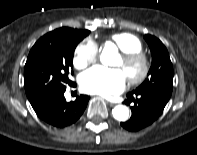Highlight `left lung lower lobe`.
<instances>
[{
  "label": "left lung lower lobe",
  "instance_id": "obj_1",
  "mask_svg": "<svg viewBox=\"0 0 197 155\" xmlns=\"http://www.w3.org/2000/svg\"><path fill=\"white\" fill-rule=\"evenodd\" d=\"M127 97L128 103L134 102V106L131 107L132 117L121 125L129 131H138L150 125L161 115L168 102L155 94L130 92Z\"/></svg>",
  "mask_w": 197,
  "mask_h": 155
}]
</instances>
